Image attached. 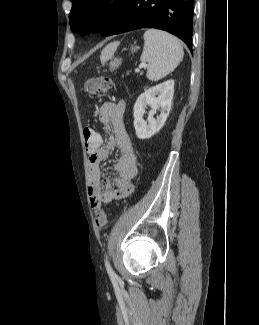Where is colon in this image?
<instances>
[{
	"label": "colon",
	"instance_id": "obj_1",
	"mask_svg": "<svg viewBox=\"0 0 259 325\" xmlns=\"http://www.w3.org/2000/svg\"><path fill=\"white\" fill-rule=\"evenodd\" d=\"M112 87V81L108 77H95L89 79L85 84V90L90 95L106 93ZM84 139L86 149H100L102 136L99 135L98 130L90 128L84 129ZM107 216L104 210L99 209L94 214V223L98 228H103L106 225Z\"/></svg>",
	"mask_w": 259,
	"mask_h": 325
}]
</instances>
